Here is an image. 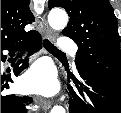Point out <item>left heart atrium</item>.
<instances>
[{
  "label": "left heart atrium",
  "instance_id": "39dd6f15",
  "mask_svg": "<svg viewBox=\"0 0 121 113\" xmlns=\"http://www.w3.org/2000/svg\"><path fill=\"white\" fill-rule=\"evenodd\" d=\"M24 86L27 90L43 94L54 93L58 88L54 69L46 63L37 64L26 75Z\"/></svg>",
  "mask_w": 121,
  "mask_h": 113
}]
</instances>
